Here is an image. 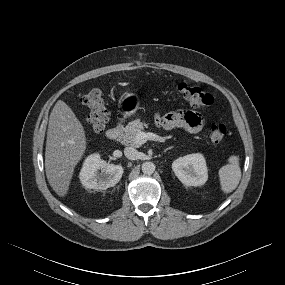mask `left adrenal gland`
<instances>
[{
	"instance_id": "a2214340",
	"label": "left adrenal gland",
	"mask_w": 285,
	"mask_h": 285,
	"mask_svg": "<svg viewBox=\"0 0 285 285\" xmlns=\"http://www.w3.org/2000/svg\"><path fill=\"white\" fill-rule=\"evenodd\" d=\"M173 147H169V148H167L166 150H165V152L167 151V150H170V149H172Z\"/></svg>"
}]
</instances>
